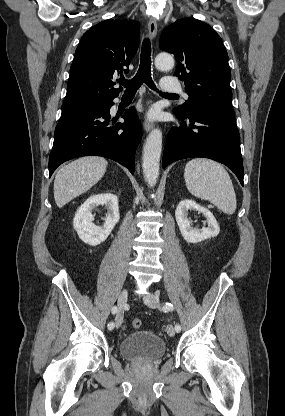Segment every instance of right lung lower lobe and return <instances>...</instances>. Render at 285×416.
<instances>
[{"instance_id": "1", "label": "right lung lower lobe", "mask_w": 285, "mask_h": 416, "mask_svg": "<svg viewBox=\"0 0 285 416\" xmlns=\"http://www.w3.org/2000/svg\"><path fill=\"white\" fill-rule=\"evenodd\" d=\"M112 105L111 102L107 107L61 115L49 156V177L63 162L89 155L110 158L134 173L135 152L141 140V126L135 109L130 108L122 116L125 123L109 127V110Z\"/></svg>"}]
</instances>
